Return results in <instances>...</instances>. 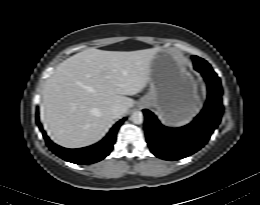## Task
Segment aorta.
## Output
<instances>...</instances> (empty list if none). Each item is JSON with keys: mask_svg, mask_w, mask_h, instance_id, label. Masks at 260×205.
Here are the masks:
<instances>
[{"mask_svg": "<svg viewBox=\"0 0 260 205\" xmlns=\"http://www.w3.org/2000/svg\"><path fill=\"white\" fill-rule=\"evenodd\" d=\"M130 119L134 124H142L143 123V113L141 111H135L132 113Z\"/></svg>", "mask_w": 260, "mask_h": 205, "instance_id": "aorta-1", "label": "aorta"}]
</instances>
